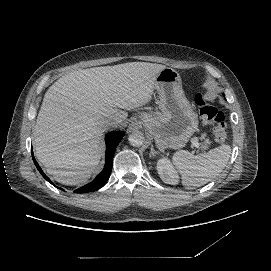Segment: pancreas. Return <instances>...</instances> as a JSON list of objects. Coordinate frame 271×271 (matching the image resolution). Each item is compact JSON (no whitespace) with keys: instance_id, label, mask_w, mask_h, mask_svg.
Segmentation results:
<instances>
[{"instance_id":"obj_1","label":"pancreas","mask_w":271,"mask_h":271,"mask_svg":"<svg viewBox=\"0 0 271 271\" xmlns=\"http://www.w3.org/2000/svg\"><path fill=\"white\" fill-rule=\"evenodd\" d=\"M202 149H207L208 148V145H203L201 146Z\"/></svg>"}]
</instances>
